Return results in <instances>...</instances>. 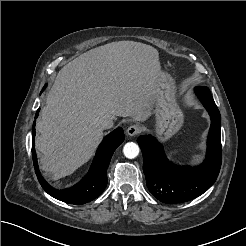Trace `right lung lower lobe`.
Instances as JSON below:
<instances>
[{
	"instance_id": "obj_1",
	"label": "right lung lower lobe",
	"mask_w": 246,
	"mask_h": 246,
	"mask_svg": "<svg viewBox=\"0 0 246 246\" xmlns=\"http://www.w3.org/2000/svg\"><path fill=\"white\" fill-rule=\"evenodd\" d=\"M45 87L46 86L43 87L42 91ZM38 113L39 110L36 112L35 119L38 117ZM34 138L35 121L32 129V158L37 178L43 189L49 195L60 201L80 205L97 198L105 189L108 181L106 175L107 168L114 151L124 141V132L122 128H117L106 136L97 150L88 174L79 183L64 190H57L53 188L42 177L37 164Z\"/></svg>"
}]
</instances>
